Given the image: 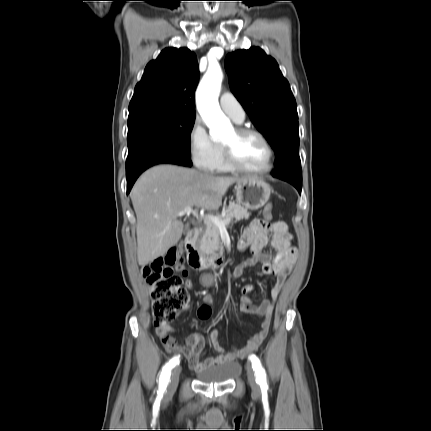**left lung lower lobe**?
<instances>
[{"instance_id": "1", "label": "left lung lower lobe", "mask_w": 431, "mask_h": 431, "mask_svg": "<svg viewBox=\"0 0 431 431\" xmlns=\"http://www.w3.org/2000/svg\"><path fill=\"white\" fill-rule=\"evenodd\" d=\"M273 176L291 183L294 187H296L298 192L301 194L302 175L296 176V175H291V174H279V175H273Z\"/></svg>"}]
</instances>
